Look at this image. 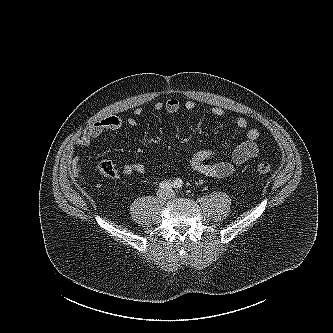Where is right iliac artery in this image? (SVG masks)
I'll list each match as a JSON object with an SVG mask.
<instances>
[{
	"instance_id": "1",
	"label": "right iliac artery",
	"mask_w": 333,
	"mask_h": 333,
	"mask_svg": "<svg viewBox=\"0 0 333 333\" xmlns=\"http://www.w3.org/2000/svg\"><path fill=\"white\" fill-rule=\"evenodd\" d=\"M173 186L172 182L170 181H162L160 184H159V187L163 190H168V189H171Z\"/></svg>"
}]
</instances>
